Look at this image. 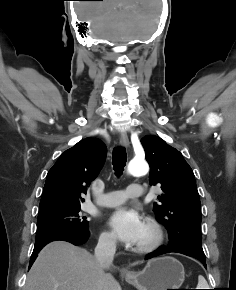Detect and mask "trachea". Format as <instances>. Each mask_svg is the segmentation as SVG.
Returning a JSON list of instances; mask_svg holds the SVG:
<instances>
[{"label": "trachea", "instance_id": "3493384b", "mask_svg": "<svg viewBox=\"0 0 236 290\" xmlns=\"http://www.w3.org/2000/svg\"><path fill=\"white\" fill-rule=\"evenodd\" d=\"M127 161V153L125 148L117 147L112 153V164L116 176H121Z\"/></svg>", "mask_w": 236, "mask_h": 290}]
</instances>
